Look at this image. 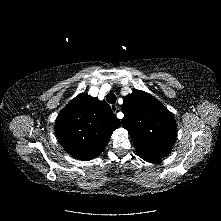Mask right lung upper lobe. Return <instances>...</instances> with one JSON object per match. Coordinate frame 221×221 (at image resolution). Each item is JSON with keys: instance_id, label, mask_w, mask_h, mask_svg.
<instances>
[{"instance_id": "cb5924a9", "label": "right lung upper lobe", "mask_w": 221, "mask_h": 221, "mask_svg": "<svg viewBox=\"0 0 221 221\" xmlns=\"http://www.w3.org/2000/svg\"><path fill=\"white\" fill-rule=\"evenodd\" d=\"M119 126V119L106 102L79 94L59 113L55 133L70 155L91 160L105 149L112 132Z\"/></svg>"}]
</instances>
